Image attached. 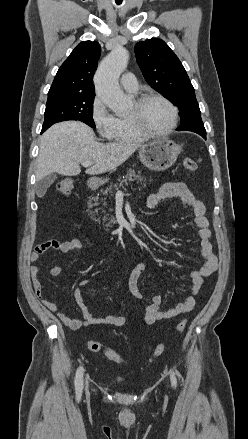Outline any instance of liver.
Returning <instances> with one entry per match:
<instances>
[{
    "label": "liver",
    "mask_w": 248,
    "mask_h": 439,
    "mask_svg": "<svg viewBox=\"0 0 248 439\" xmlns=\"http://www.w3.org/2000/svg\"><path fill=\"white\" fill-rule=\"evenodd\" d=\"M132 142L103 144L96 141L94 131L80 121H64L51 126L41 137L37 158L36 180L52 173L75 176L80 163L92 162L85 173L97 175L123 164L138 148Z\"/></svg>",
    "instance_id": "liver-1"
}]
</instances>
